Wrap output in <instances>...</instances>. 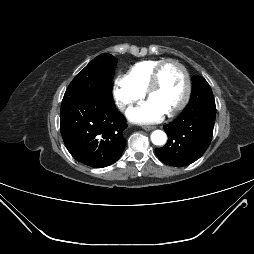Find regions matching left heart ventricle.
<instances>
[{"label":"left heart ventricle","instance_id":"1","mask_svg":"<svg viewBox=\"0 0 254 254\" xmlns=\"http://www.w3.org/2000/svg\"><path fill=\"white\" fill-rule=\"evenodd\" d=\"M183 93V74L179 67L170 63L163 68L160 83L149 96V100L155 102L167 113L177 106Z\"/></svg>","mask_w":254,"mask_h":254}]
</instances>
